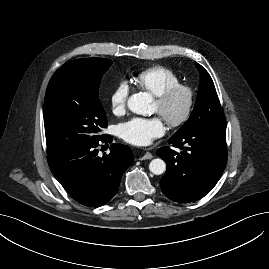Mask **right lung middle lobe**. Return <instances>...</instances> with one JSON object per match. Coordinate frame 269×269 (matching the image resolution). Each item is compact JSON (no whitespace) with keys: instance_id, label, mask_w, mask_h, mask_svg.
<instances>
[{"instance_id":"right-lung-middle-lobe-1","label":"right lung middle lobe","mask_w":269,"mask_h":269,"mask_svg":"<svg viewBox=\"0 0 269 269\" xmlns=\"http://www.w3.org/2000/svg\"><path fill=\"white\" fill-rule=\"evenodd\" d=\"M112 62L105 58L77 59L52 76L44 102L47 154L79 148L103 138L107 118L98 89Z\"/></svg>"}]
</instances>
